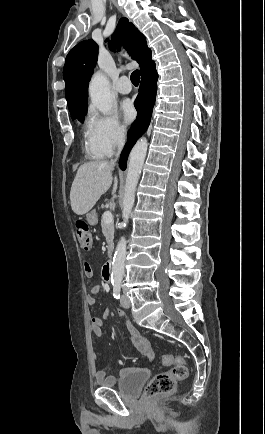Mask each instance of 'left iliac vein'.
Segmentation results:
<instances>
[{
	"label": "left iliac vein",
	"instance_id": "left-iliac-vein-1",
	"mask_svg": "<svg viewBox=\"0 0 265 434\" xmlns=\"http://www.w3.org/2000/svg\"><path fill=\"white\" fill-rule=\"evenodd\" d=\"M120 304L124 308H129L130 307V300L128 299V297L126 295H121Z\"/></svg>",
	"mask_w": 265,
	"mask_h": 434
}]
</instances>
